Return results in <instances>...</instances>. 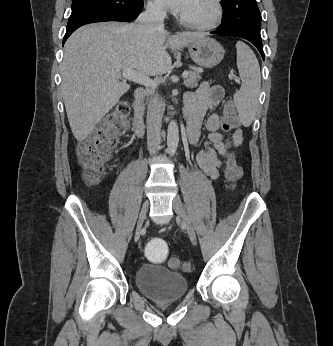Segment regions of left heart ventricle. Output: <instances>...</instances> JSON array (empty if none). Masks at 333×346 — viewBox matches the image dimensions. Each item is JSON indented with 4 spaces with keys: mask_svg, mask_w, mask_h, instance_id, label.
Masks as SVG:
<instances>
[{
    "mask_svg": "<svg viewBox=\"0 0 333 346\" xmlns=\"http://www.w3.org/2000/svg\"><path fill=\"white\" fill-rule=\"evenodd\" d=\"M212 14L213 8L209 0H191L182 15L197 21H207L211 18Z\"/></svg>",
    "mask_w": 333,
    "mask_h": 346,
    "instance_id": "1",
    "label": "left heart ventricle"
}]
</instances>
